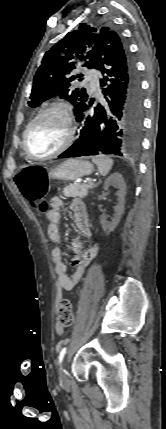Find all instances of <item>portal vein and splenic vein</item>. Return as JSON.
<instances>
[{"label":"portal vein and splenic vein","instance_id":"obj_1","mask_svg":"<svg viewBox=\"0 0 166 429\" xmlns=\"http://www.w3.org/2000/svg\"><path fill=\"white\" fill-rule=\"evenodd\" d=\"M92 181H93L92 179H89V180H88V182H92Z\"/></svg>","mask_w":166,"mask_h":429}]
</instances>
